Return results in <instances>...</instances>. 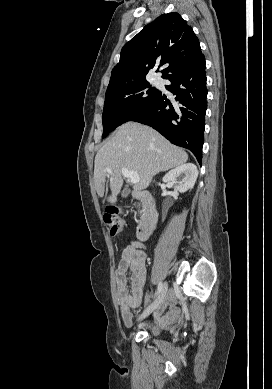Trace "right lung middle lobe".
<instances>
[{
    "label": "right lung middle lobe",
    "instance_id": "right-lung-middle-lobe-1",
    "mask_svg": "<svg viewBox=\"0 0 272 389\" xmlns=\"http://www.w3.org/2000/svg\"><path fill=\"white\" fill-rule=\"evenodd\" d=\"M159 94L160 91L147 81L106 92L102 115V137H106L119 125L131 121L152 104Z\"/></svg>",
    "mask_w": 272,
    "mask_h": 389
}]
</instances>
